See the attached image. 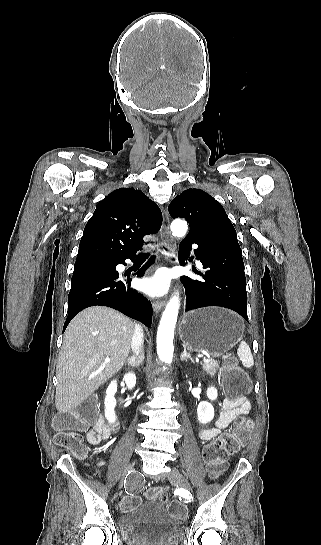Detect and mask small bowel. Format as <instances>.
<instances>
[{
  "label": "small bowel",
  "mask_w": 321,
  "mask_h": 545,
  "mask_svg": "<svg viewBox=\"0 0 321 545\" xmlns=\"http://www.w3.org/2000/svg\"><path fill=\"white\" fill-rule=\"evenodd\" d=\"M251 409V402L244 396L238 398H225L220 404L219 416L213 428H201L200 438L204 441H210L216 438L222 429L226 428L239 415L246 414ZM112 429L99 418L87 434V439L91 444H99L110 438ZM104 461H99L98 466L104 465Z\"/></svg>",
  "instance_id": "small-bowel-1"
}]
</instances>
